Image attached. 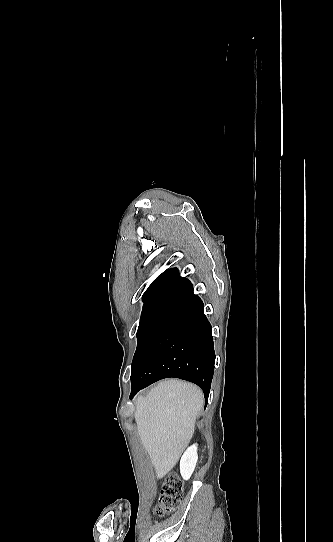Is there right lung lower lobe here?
<instances>
[{
    "mask_svg": "<svg viewBox=\"0 0 333 542\" xmlns=\"http://www.w3.org/2000/svg\"><path fill=\"white\" fill-rule=\"evenodd\" d=\"M215 364L212 327L201 299L184 279L151 312L131 366L132 398L167 377L197 384L207 398Z\"/></svg>",
    "mask_w": 333,
    "mask_h": 542,
    "instance_id": "right-lung-lower-lobe-1",
    "label": "right lung lower lobe"
}]
</instances>
